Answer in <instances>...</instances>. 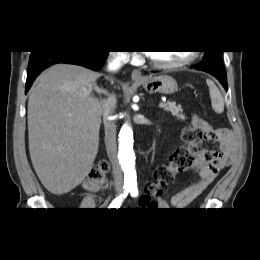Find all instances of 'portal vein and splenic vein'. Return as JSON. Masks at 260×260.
Listing matches in <instances>:
<instances>
[{"mask_svg": "<svg viewBox=\"0 0 260 260\" xmlns=\"http://www.w3.org/2000/svg\"><path fill=\"white\" fill-rule=\"evenodd\" d=\"M159 107H160V108L166 107V103L161 102V103L159 104Z\"/></svg>", "mask_w": 260, "mask_h": 260, "instance_id": "1", "label": "portal vein and splenic vein"}]
</instances>
